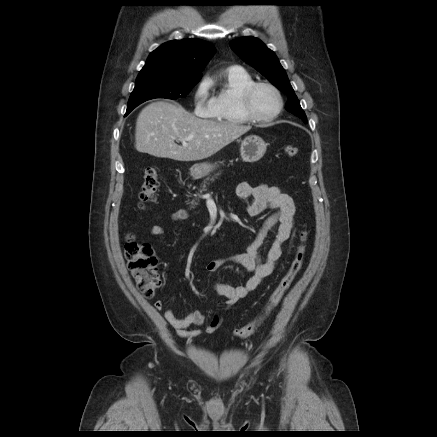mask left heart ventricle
Wrapping results in <instances>:
<instances>
[{"label": "left heart ventricle", "instance_id": "obj_1", "mask_svg": "<svg viewBox=\"0 0 437 437\" xmlns=\"http://www.w3.org/2000/svg\"><path fill=\"white\" fill-rule=\"evenodd\" d=\"M254 112L261 117L271 116L278 107V101L274 92L267 87L258 88L252 99Z\"/></svg>", "mask_w": 437, "mask_h": 437}]
</instances>
